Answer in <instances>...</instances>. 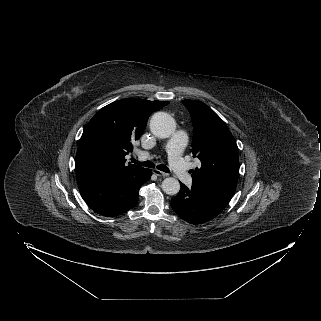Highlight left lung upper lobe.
Instances as JSON below:
<instances>
[{
  "instance_id": "5c2ea615",
  "label": "left lung upper lobe",
  "mask_w": 321,
  "mask_h": 321,
  "mask_svg": "<svg viewBox=\"0 0 321 321\" xmlns=\"http://www.w3.org/2000/svg\"><path fill=\"white\" fill-rule=\"evenodd\" d=\"M194 127L193 157L201 161L191 175L193 181L237 183L239 159L237 144L224 121L205 103L183 100Z\"/></svg>"
}]
</instances>
